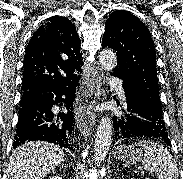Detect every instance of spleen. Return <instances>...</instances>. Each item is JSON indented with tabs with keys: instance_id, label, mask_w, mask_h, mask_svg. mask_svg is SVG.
Listing matches in <instances>:
<instances>
[{
	"instance_id": "3e777b00",
	"label": "spleen",
	"mask_w": 183,
	"mask_h": 179,
	"mask_svg": "<svg viewBox=\"0 0 183 179\" xmlns=\"http://www.w3.org/2000/svg\"><path fill=\"white\" fill-rule=\"evenodd\" d=\"M136 144L145 151L142 164L149 174L157 172L158 179L179 178L176 161L166 148L150 140L139 141Z\"/></svg>"
}]
</instances>
